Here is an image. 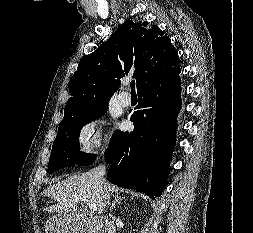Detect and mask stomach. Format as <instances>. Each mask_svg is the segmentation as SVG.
Wrapping results in <instances>:
<instances>
[{"mask_svg": "<svg viewBox=\"0 0 253 233\" xmlns=\"http://www.w3.org/2000/svg\"><path fill=\"white\" fill-rule=\"evenodd\" d=\"M76 214H58L50 218L45 225L46 233H77L75 229Z\"/></svg>", "mask_w": 253, "mask_h": 233, "instance_id": "0dacf381", "label": "stomach"}]
</instances>
